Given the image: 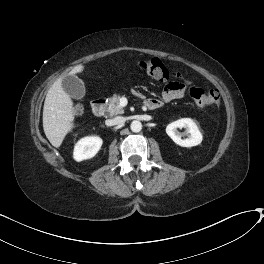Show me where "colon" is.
I'll use <instances>...</instances> for the list:
<instances>
[{
    "label": "colon",
    "instance_id": "1",
    "mask_svg": "<svg viewBox=\"0 0 264 264\" xmlns=\"http://www.w3.org/2000/svg\"><path fill=\"white\" fill-rule=\"evenodd\" d=\"M139 67L151 77L160 81H164L170 77L166 66L157 58L142 60L139 62ZM188 95L193 101L203 107L218 108L221 103L220 94L214 88H209L204 91L200 87H191L188 90ZM79 111L80 109L77 110V113H79Z\"/></svg>",
    "mask_w": 264,
    "mask_h": 264
}]
</instances>
